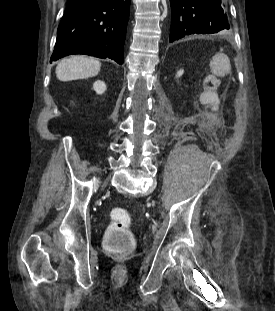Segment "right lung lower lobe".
Returning <instances> with one entry per match:
<instances>
[{"instance_id":"98d812e1","label":"right lung lower lobe","mask_w":275,"mask_h":311,"mask_svg":"<svg viewBox=\"0 0 275 311\" xmlns=\"http://www.w3.org/2000/svg\"><path fill=\"white\" fill-rule=\"evenodd\" d=\"M129 9L130 0L67 3L50 62L71 54H86L123 64Z\"/></svg>"}]
</instances>
